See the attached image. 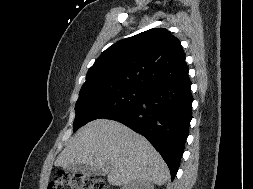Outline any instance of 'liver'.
Returning <instances> with one entry per match:
<instances>
[{
	"label": "liver",
	"mask_w": 253,
	"mask_h": 189,
	"mask_svg": "<svg viewBox=\"0 0 253 189\" xmlns=\"http://www.w3.org/2000/svg\"><path fill=\"white\" fill-rule=\"evenodd\" d=\"M71 164L100 169L113 186L133 180L161 186L170 177L166 163L143 136L107 119H97L83 126L55 161L59 167Z\"/></svg>",
	"instance_id": "6515ba94"
}]
</instances>
